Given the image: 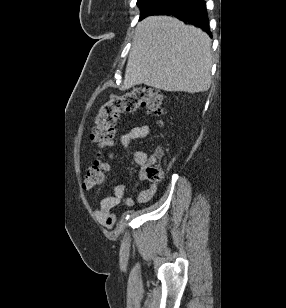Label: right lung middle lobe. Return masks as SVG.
Segmentation results:
<instances>
[{"mask_svg":"<svg viewBox=\"0 0 286 308\" xmlns=\"http://www.w3.org/2000/svg\"><path fill=\"white\" fill-rule=\"evenodd\" d=\"M170 1L171 0H138L137 5L141 10L140 19L144 18L155 10L162 8Z\"/></svg>","mask_w":286,"mask_h":308,"instance_id":"1","label":"right lung middle lobe"}]
</instances>
